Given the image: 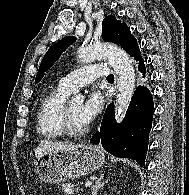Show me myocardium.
I'll list each match as a JSON object with an SVG mask.
<instances>
[{"mask_svg": "<svg viewBox=\"0 0 189 195\" xmlns=\"http://www.w3.org/2000/svg\"><path fill=\"white\" fill-rule=\"evenodd\" d=\"M61 125L63 129V133L71 137H81L88 132L87 127L84 129H76L72 125L67 105H65L62 109Z\"/></svg>", "mask_w": 189, "mask_h": 195, "instance_id": "f54148a6", "label": "myocardium"}]
</instances>
